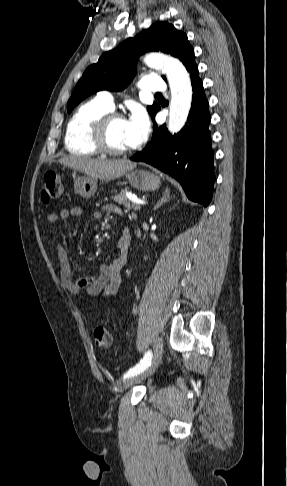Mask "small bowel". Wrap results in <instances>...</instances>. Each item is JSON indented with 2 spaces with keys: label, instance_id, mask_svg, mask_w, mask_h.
Segmentation results:
<instances>
[{
  "label": "small bowel",
  "instance_id": "obj_1",
  "mask_svg": "<svg viewBox=\"0 0 287 486\" xmlns=\"http://www.w3.org/2000/svg\"><path fill=\"white\" fill-rule=\"evenodd\" d=\"M107 212L118 216H123V212L115 205L105 207ZM83 210L80 207L63 209L59 213H49L46 221L49 223H59L70 218L81 217ZM101 211H93L91 217L100 219ZM131 236L128 230H124L116 244L117 256L108 264L100 265L96 272L78 279L73 278L68 251L61 244L56 245V255L59 263L61 281L63 288L73 295H80L86 291L89 299L94 300L98 297L108 298L116 294L121 284L122 269L127 262V253L130 246Z\"/></svg>",
  "mask_w": 287,
  "mask_h": 486
}]
</instances>
